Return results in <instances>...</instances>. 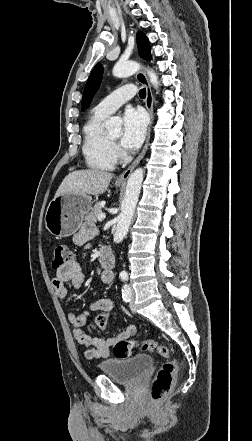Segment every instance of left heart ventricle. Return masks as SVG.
<instances>
[{
    "label": "left heart ventricle",
    "instance_id": "1",
    "mask_svg": "<svg viewBox=\"0 0 252 441\" xmlns=\"http://www.w3.org/2000/svg\"><path fill=\"white\" fill-rule=\"evenodd\" d=\"M109 137H110L112 140L117 141V140L119 139V137H120V131H117V132H115V133H113V134H110Z\"/></svg>",
    "mask_w": 252,
    "mask_h": 441
}]
</instances>
